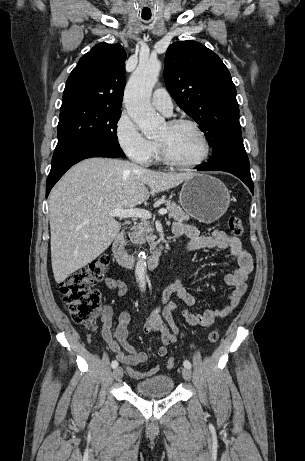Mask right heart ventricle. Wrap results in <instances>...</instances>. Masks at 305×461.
Returning <instances> with one entry per match:
<instances>
[{
	"label": "right heart ventricle",
	"instance_id": "1",
	"mask_svg": "<svg viewBox=\"0 0 305 461\" xmlns=\"http://www.w3.org/2000/svg\"><path fill=\"white\" fill-rule=\"evenodd\" d=\"M155 146H154V151H153V156L156 160H161V155H160V151H159V146H158V143L154 142Z\"/></svg>",
	"mask_w": 305,
	"mask_h": 461
}]
</instances>
